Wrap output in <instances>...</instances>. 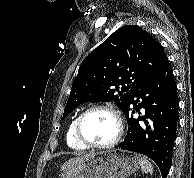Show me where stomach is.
Masks as SVG:
<instances>
[{"instance_id": "stomach-1", "label": "stomach", "mask_w": 194, "mask_h": 178, "mask_svg": "<svg viewBox=\"0 0 194 178\" xmlns=\"http://www.w3.org/2000/svg\"><path fill=\"white\" fill-rule=\"evenodd\" d=\"M139 167V156L123 150L92 153L66 169L60 178H127Z\"/></svg>"}]
</instances>
